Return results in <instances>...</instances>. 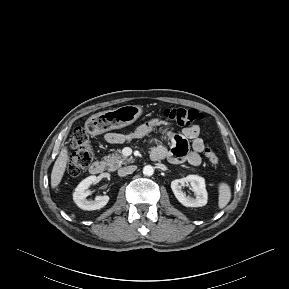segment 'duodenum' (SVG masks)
Instances as JSON below:
<instances>
[{"mask_svg":"<svg viewBox=\"0 0 289 289\" xmlns=\"http://www.w3.org/2000/svg\"><path fill=\"white\" fill-rule=\"evenodd\" d=\"M151 159L153 161H158L160 160V156L156 154H151ZM104 170H105V165L101 161H94L89 168L90 173L93 175H99L103 173Z\"/></svg>","mask_w":289,"mask_h":289,"instance_id":"410a0bca","label":"duodenum"}]
</instances>
